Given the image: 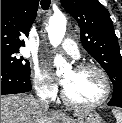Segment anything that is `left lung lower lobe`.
Segmentation results:
<instances>
[{
  "instance_id": "1",
  "label": "left lung lower lobe",
  "mask_w": 122,
  "mask_h": 123,
  "mask_svg": "<svg viewBox=\"0 0 122 123\" xmlns=\"http://www.w3.org/2000/svg\"><path fill=\"white\" fill-rule=\"evenodd\" d=\"M108 105L122 108V94L113 95Z\"/></svg>"
}]
</instances>
